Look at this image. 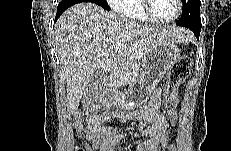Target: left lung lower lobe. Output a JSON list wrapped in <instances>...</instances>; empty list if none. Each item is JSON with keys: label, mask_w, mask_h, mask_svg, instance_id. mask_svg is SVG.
Segmentation results:
<instances>
[{"label": "left lung lower lobe", "mask_w": 231, "mask_h": 151, "mask_svg": "<svg viewBox=\"0 0 231 151\" xmlns=\"http://www.w3.org/2000/svg\"><path fill=\"white\" fill-rule=\"evenodd\" d=\"M189 29L194 32V34H195V36L197 37V40H198L199 35H200V31H201V27H191Z\"/></svg>", "instance_id": "obj_1"}]
</instances>
